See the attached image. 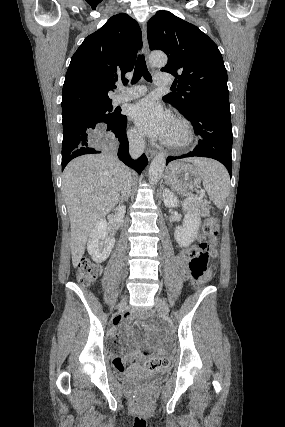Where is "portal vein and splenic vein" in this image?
Masks as SVG:
<instances>
[{
  "instance_id": "portal-vein-and-splenic-vein-1",
  "label": "portal vein and splenic vein",
  "mask_w": 285,
  "mask_h": 427,
  "mask_svg": "<svg viewBox=\"0 0 285 427\" xmlns=\"http://www.w3.org/2000/svg\"><path fill=\"white\" fill-rule=\"evenodd\" d=\"M204 195H205V192H204V191H201V192L199 193V195L189 197V198H188V201H194V200L201 199V198H203V196H204Z\"/></svg>"
}]
</instances>
